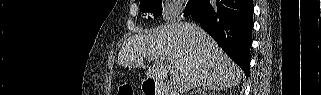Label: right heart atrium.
Masks as SVG:
<instances>
[{"mask_svg":"<svg viewBox=\"0 0 321 95\" xmlns=\"http://www.w3.org/2000/svg\"><path fill=\"white\" fill-rule=\"evenodd\" d=\"M186 10V2L180 0L167 1L164 3L161 13L165 20L175 21L181 17Z\"/></svg>","mask_w":321,"mask_h":95,"instance_id":"1","label":"right heart atrium"}]
</instances>
